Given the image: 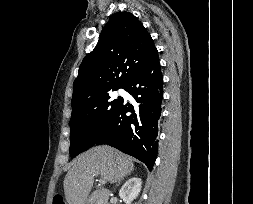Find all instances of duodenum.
<instances>
[{
  "instance_id": "obj_1",
  "label": "duodenum",
  "mask_w": 253,
  "mask_h": 204,
  "mask_svg": "<svg viewBox=\"0 0 253 204\" xmlns=\"http://www.w3.org/2000/svg\"><path fill=\"white\" fill-rule=\"evenodd\" d=\"M110 194L105 190L94 191L84 204H109Z\"/></svg>"
}]
</instances>
